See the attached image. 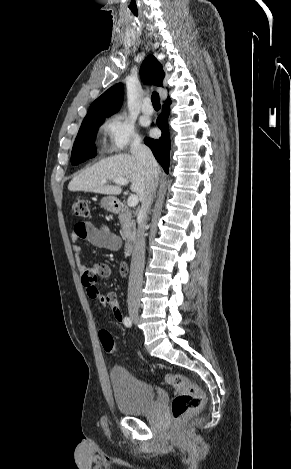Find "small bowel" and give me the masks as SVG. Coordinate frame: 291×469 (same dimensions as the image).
<instances>
[{"instance_id":"c3829d8e","label":"small bowel","mask_w":291,"mask_h":469,"mask_svg":"<svg viewBox=\"0 0 291 469\" xmlns=\"http://www.w3.org/2000/svg\"><path fill=\"white\" fill-rule=\"evenodd\" d=\"M71 239L74 242L72 245L74 259L88 296L94 300L96 298L103 299L105 306L111 308L115 321L117 323H124V317L119 306L117 294L115 292H109L103 295L100 294L97 288L98 279H104L110 276L109 266L105 263H99L90 267L84 265L81 261L82 249L81 246L77 244L79 240H86L94 247L116 251L121 246L120 237L105 225H96L91 221H82L74 225Z\"/></svg>"}]
</instances>
